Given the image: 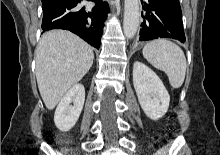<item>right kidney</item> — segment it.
Instances as JSON below:
<instances>
[{
    "label": "right kidney",
    "instance_id": "obj_1",
    "mask_svg": "<svg viewBox=\"0 0 220 155\" xmlns=\"http://www.w3.org/2000/svg\"><path fill=\"white\" fill-rule=\"evenodd\" d=\"M85 101V89L82 84H75L61 99L58 104L54 122L56 127L63 131H69L79 119ZM73 102V106L70 103Z\"/></svg>",
    "mask_w": 220,
    "mask_h": 155
}]
</instances>
